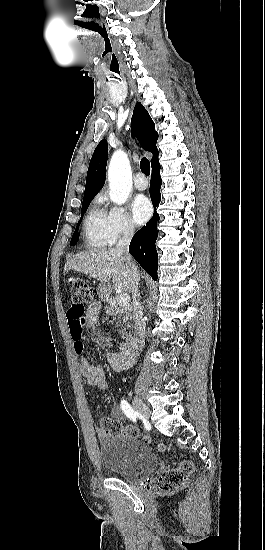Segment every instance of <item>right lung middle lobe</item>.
Listing matches in <instances>:
<instances>
[{
  "mask_svg": "<svg viewBox=\"0 0 265 550\" xmlns=\"http://www.w3.org/2000/svg\"><path fill=\"white\" fill-rule=\"evenodd\" d=\"M93 198H88V199H83V202H82V210H81V216H83V214L86 212L91 200ZM82 219V218H81ZM79 224H80V221L78 222V225L76 227V230L72 236V239L70 241V245L73 246L75 245V243L77 242L78 240V227H79Z\"/></svg>",
  "mask_w": 265,
  "mask_h": 550,
  "instance_id": "right-lung-middle-lobe-1",
  "label": "right lung middle lobe"
}]
</instances>
